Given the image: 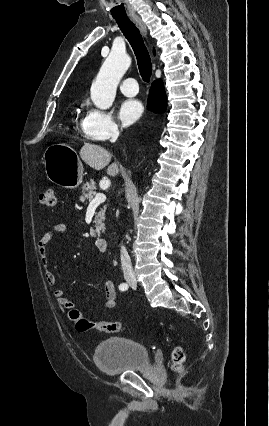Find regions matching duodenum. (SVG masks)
I'll return each instance as SVG.
<instances>
[{"mask_svg":"<svg viewBox=\"0 0 269 426\" xmlns=\"http://www.w3.org/2000/svg\"><path fill=\"white\" fill-rule=\"evenodd\" d=\"M96 246L100 252H106L108 250V240L105 238H98L96 240Z\"/></svg>","mask_w":269,"mask_h":426,"instance_id":"410a0bca","label":"duodenum"}]
</instances>
